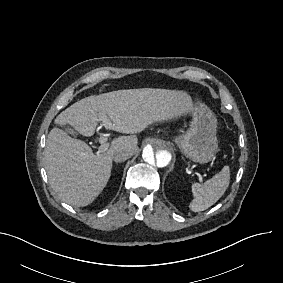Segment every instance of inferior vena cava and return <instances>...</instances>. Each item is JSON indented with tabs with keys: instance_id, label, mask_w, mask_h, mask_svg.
Masks as SVG:
<instances>
[{
	"instance_id": "602c4592",
	"label": "inferior vena cava",
	"mask_w": 283,
	"mask_h": 283,
	"mask_svg": "<svg viewBox=\"0 0 283 283\" xmlns=\"http://www.w3.org/2000/svg\"><path fill=\"white\" fill-rule=\"evenodd\" d=\"M134 154L129 146L116 147L113 151V159L115 162H124Z\"/></svg>"
}]
</instances>
